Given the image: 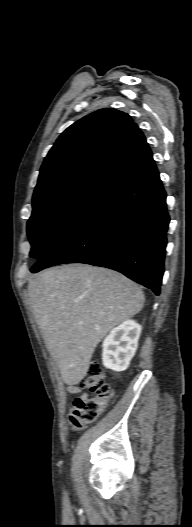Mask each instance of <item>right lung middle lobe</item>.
Segmentation results:
<instances>
[{"mask_svg": "<svg viewBox=\"0 0 192 527\" xmlns=\"http://www.w3.org/2000/svg\"><path fill=\"white\" fill-rule=\"evenodd\" d=\"M107 180L87 177L33 196L27 224L30 256L40 260L76 221Z\"/></svg>", "mask_w": 192, "mask_h": 527, "instance_id": "obj_1", "label": "right lung middle lobe"}]
</instances>
